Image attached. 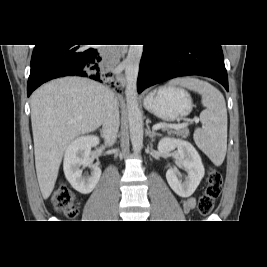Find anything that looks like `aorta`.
I'll use <instances>...</instances> for the list:
<instances>
[{
	"mask_svg": "<svg viewBox=\"0 0 267 267\" xmlns=\"http://www.w3.org/2000/svg\"><path fill=\"white\" fill-rule=\"evenodd\" d=\"M143 53V45H130L127 57L124 61L126 77V102L128 110L129 130L132 147L135 153H139L143 147V123L142 114L137 98V78L139 64Z\"/></svg>",
	"mask_w": 267,
	"mask_h": 267,
	"instance_id": "obj_1",
	"label": "aorta"
}]
</instances>
